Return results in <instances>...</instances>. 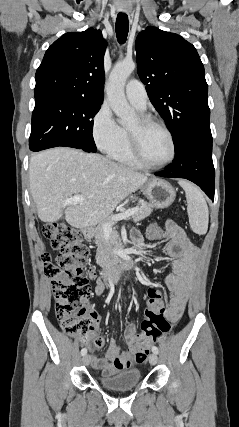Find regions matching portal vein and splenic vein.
<instances>
[{
	"label": "portal vein and splenic vein",
	"mask_w": 239,
	"mask_h": 427,
	"mask_svg": "<svg viewBox=\"0 0 239 427\" xmlns=\"http://www.w3.org/2000/svg\"><path fill=\"white\" fill-rule=\"evenodd\" d=\"M84 200H85V197H83L82 195H74V196L68 198L67 200H65L64 204L65 205H68V204H77V203L83 202ZM138 209H139L138 207H135V208L128 209V210H126V211H124L122 213L113 215L111 217V220H113V221H120V220H124L126 218H129L130 216H132L133 214H135L138 211ZM111 229H112V226H111L110 223H105L103 225V230L104 231H110Z\"/></svg>",
	"instance_id": "18ae733b"
}]
</instances>
